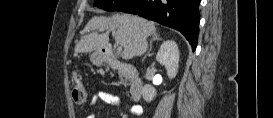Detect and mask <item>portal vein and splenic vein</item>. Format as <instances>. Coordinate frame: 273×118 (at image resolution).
<instances>
[{
  "label": "portal vein and splenic vein",
  "mask_w": 273,
  "mask_h": 118,
  "mask_svg": "<svg viewBox=\"0 0 273 118\" xmlns=\"http://www.w3.org/2000/svg\"><path fill=\"white\" fill-rule=\"evenodd\" d=\"M117 45H118V46H117V50H118V51H121V50H122V46H120L118 43H117Z\"/></svg>",
  "instance_id": "obj_1"
}]
</instances>
